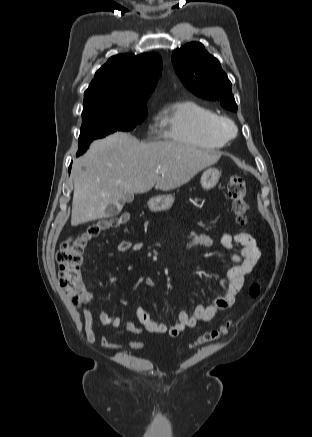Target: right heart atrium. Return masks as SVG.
I'll return each instance as SVG.
<instances>
[{
    "mask_svg": "<svg viewBox=\"0 0 312 437\" xmlns=\"http://www.w3.org/2000/svg\"><path fill=\"white\" fill-rule=\"evenodd\" d=\"M155 126H150V128H149V134H154L155 133Z\"/></svg>",
    "mask_w": 312,
    "mask_h": 437,
    "instance_id": "right-heart-atrium-1",
    "label": "right heart atrium"
}]
</instances>
